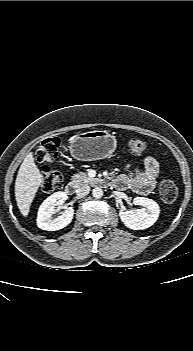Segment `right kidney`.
<instances>
[{
  "instance_id": "right-kidney-1",
  "label": "right kidney",
  "mask_w": 193,
  "mask_h": 351,
  "mask_svg": "<svg viewBox=\"0 0 193 351\" xmlns=\"http://www.w3.org/2000/svg\"><path fill=\"white\" fill-rule=\"evenodd\" d=\"M68 196L65 192L59 191L53 193L40 205L37 215V226L42 230L56 231L69 225L73 219L74 209L68 207L62 215L57 218H52L56 213L55 206L62 205Z\"/></svg>"
}]
</instances>
